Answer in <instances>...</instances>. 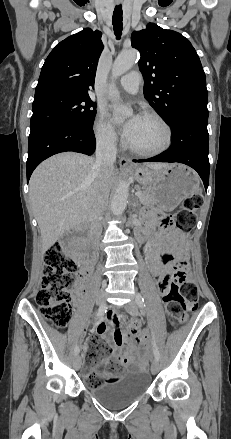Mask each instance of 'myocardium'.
Wrapping results in <instances>:
<instances>
[{
	"label": "myocardium",
	"mask_w": 231,
	"mask_h": 439,
	"mask_svg": "<svg viewBox=\"0 0 231 439\" xmlns=\"http://www.w3.org/2000/svg\"><path fill=\"white\" fill-rule=\"evenodd\" d=\"M143 116L157 121L163 127V129L165 131L164 143L160 147L152 149V150L137 149V148L131 146L129 143L127 144V148L132 153H134L138 156H142V157H153V156L160 155V154L164 153L165 151H167L172 144V141H173L172 128H171L170 124L167 122V120L157 112L145 111L143 113Z\"/></svg>",
	"instance_id": "myocardium-1"
}]
</instances>
